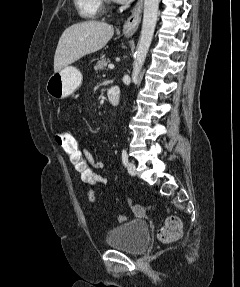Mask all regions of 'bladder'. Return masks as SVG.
<instances>
[{
  "instance_id": "1",
  "label": "bladder",
  "mask_w": 240,
  "mask_h": 287,
  "mask_svg": "<svg viewBox=\"0 0 240 287\" xmlns=\"http://www.w3.org/2000/svg\"><path fill=\"white\" fill-rule=\"evenodd\" d=\"M150 228L146 221L134 219L112 228L106 236V245L129 254H141L147 248Z\"/></svg>"
}]
</instances>
